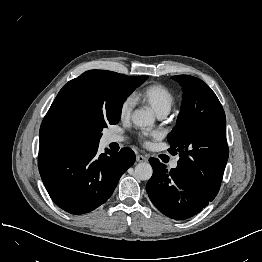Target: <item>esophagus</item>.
<instances>
[{"mask_svg": "<svg viewBox=\"0 0 262 262\" xmlns=\"http://www.w3.org/2000/svg\"><path fill=\"white\" fill-rule=\"evenodd\" d=\"M136 161L137 162H147L148 158L146 155H137L136 156Z\"/></svg>", "mask_w": 262, "mask_h": 262, "instance_id": "1", "label": "esophagus"}]
</instances>
